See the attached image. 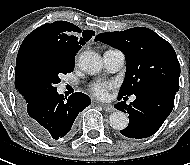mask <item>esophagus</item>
<instances>
[{
	"instance_id": "esophagus-1",
	"label": "esophagus",
	"mask_w": 190,
	"mask_h": 165,
	"mask_svg": "<svg viewBox=\"0 0 190 165\" xmlns=\"http://www.w3.org/2000/svg\"><path fill=\"white\" fill-rule=\"evenodd\" d=\"M106 112H114V107L108 104H100Z\"/></svg>"
}]
</instances>
